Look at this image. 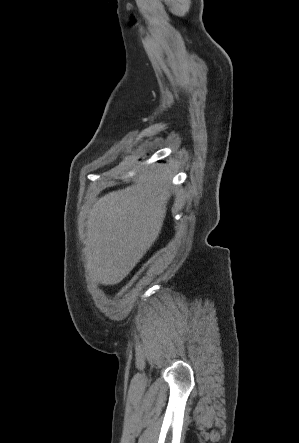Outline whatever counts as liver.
<instances>
[{"label":"liver","instance_id":"1","mask_svg":"<svg viewBox=\"0 0 299 443\" xmlns=\"http://www.w3.org/2000/svg\"><path fill=\"white\" fill-rule=\"evenodd\" d=\"M169 168L143 169L136 182L106 194L86 221L85 272L103 285L121 282L157 240L170 199Z\"/></svg>","mask_w":299,"mask_h":443}]
</instances>
